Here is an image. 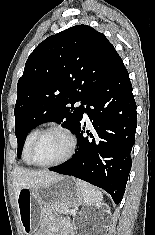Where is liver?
Instances as JSON below:
<instances>
[{
    "instance_id": "liver-1",
    "label": "liver",
    "mask_w": 155,
    "mask_h": 235,
    "mask_svg": "<svg viewBox=\"0 0 155 235\" xmlns=\"http://www.w3.org/2000/svg\"><path fill=\"white\" fill-rule=\"evenodd\" d=\"M61 178L60 175L48 171H32L16 167L13 171V186L17 198L22 188L46 187Z\"/></svg>"
}]
</instances>
